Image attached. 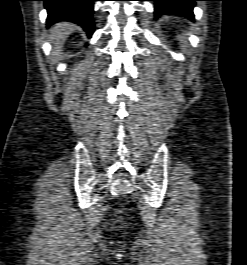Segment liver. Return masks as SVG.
<instances>
[{"label": "liver", "instance_id": "1", "mask_svg": "<svg viewBox=\"0 0 247 265\" xmlns=\"http://www.w3.org/2000/svg\"><path fill=\"white\" fill-rule=\"evenodd\" d=\"M75 25L68 22L57 23L50 29L54 49H61L67 37L74 31Z\"/></svg>", "mask_w": 247, "mask_h": 265}]
</instances>
